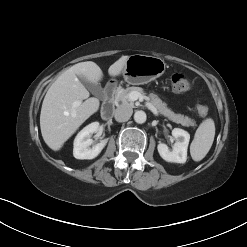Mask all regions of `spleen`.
<instances>
[{"instance_id": "spleen-1", "label": "spleen", "mask_w": 247, "mask_h": 247, "mask_svg": "<svg viewBox=\"0 0 247 247\" xmlns=\"http://www.w3.org/2000/svg\"><path fill=\"white\" fill-rule=\"evenodd\" d=\"M215 137V124L211 118L205 119L195 132L190 145V154L194 161L202 160L209 152Z\"/></svg>"}]
</instances>
